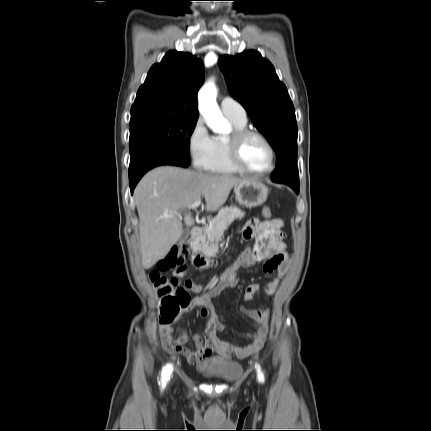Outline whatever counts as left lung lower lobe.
I'll list each match as a JSON object with an SVG mask.
<instances>
[{
    "label": "left lung lower lobe",
    "mask_w": 431,
    "mask_h": 431,
    "mask_svg": "<svg viewBox=\"0 0 431 431\" xmlns=\"http://www.w3.org/2000/svg\"><path fill=\"white\" fill-rule=\"evenodd\" d=\"M288 185L291 186L297 193H299V182L298 183H289Z\"/></svg>",
    "instance_id": "left-lung-lower-lobe-1"
}]
</instances>
